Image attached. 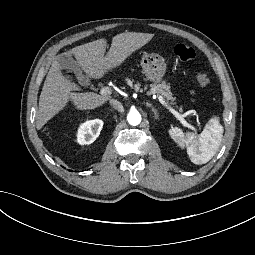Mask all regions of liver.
Instances as JSON below:
<instances>
[{"label":"liver","instance_id":"1","mask_svg":"<svg viewBox=\"0 0 255 255\" xmlns=\"http://www.w3.org/2000/svg\"><path fill=\"white\" fill-rule=\"evenodd\" d=\"M154 34L125 32L113 37L111 47L106 51V39H99L71 49L84 72L94 79H100L105 73L122 64L134 51L147 44ZM79 90L76 84L65 78L57 62L52 64L39 98V110L36 115V128L41 129L48 120L57 114L71 99L77 109H94L109 100L93 92L72 93Z\"/></svg>","mask_w":255,"mask_h":255}]
</instances>
